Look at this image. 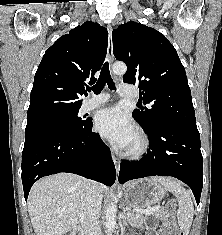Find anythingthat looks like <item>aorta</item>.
Here are the masks:
<instances>
[{"mask_svg":"<svg viewBox=\"0 0 222 235\" xmlns=\"http://www.w3.org/2000/svg\"><path fill=\"white\" fill-rule=\"evenodd\" d=\"M113 73L116 75H124L127 71V66L123 62L114 63L112 67ZM116 198L114 197V200ZM116 214H117V206L112 202L106 209L105 215V227L107 232L111 233L116 225Z\"/></svg>","mask_w":222,"mask_h":235,"instance_id":"obj_1","label":"aorta"}]
</instances>
